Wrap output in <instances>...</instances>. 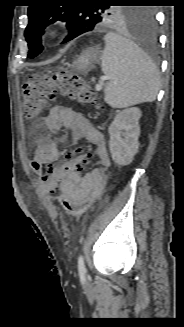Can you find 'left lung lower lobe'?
<instances>
[{"label": "left lung lower lobe", "mask_w": 184, "mask_h": 327, "mask_svg": "<svg viewBox=\"0 0 184 327\" xmlns=\"http://www.w3.org/2000/svg\"><path fill=\"white\" fill-rule=\"evenodd\" d=\"M147 10V15L143 20L136 26L135 36L139 48L144 53L156 55L158 52V38H157V24L154 13ZM79 36V35H77ZM69 32V35L65 38L64 42L69 41L77 37Z\"/></svg>", "instance_id": "left-lung-lower-lobe-1"}]
</instances>
